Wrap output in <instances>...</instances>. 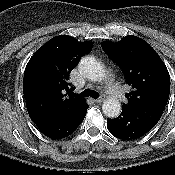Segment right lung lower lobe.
Masks as SVG:
<instances>
[{"label":"right lung lower lobe","mask_w":175,"mask_h":175,"mask_svg":"<svg viewBox=\"0 0 175 175\" xmlns=\"http://www.w3.org/2000/svg\"><path fill=\"white\" fill-rule=\"evenodd\" d=\"M88 106L75 114H51L36 123L40 132L51 139H62L71 135L83 121Z\"/></svg>","instance_id":"98d812e1"}]
</instances>
